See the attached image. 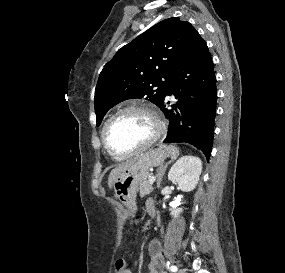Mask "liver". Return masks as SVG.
Masks as SVG:
<instances>
[{"mask_svg": "<svg viewBox=\"0 0 285 273\" xmlns=\"http://www.w3.org/2000/svg\"><path fill=\"white\" fill-rule=\"evenodd\" d=\"M136 159L128 161L126 163H122L120 165H118L117 167H115L109 174V178H108V186L109 188H112L114 181L116 180L117 176L119 175V173L121 171H123L124 169H126L127 167H129L132 163L135 162Z\"/></svg>", "mask_w": 285, "mask_h": 273, "instance_id": "liver-1", "label": "liver"}]
</instances>
